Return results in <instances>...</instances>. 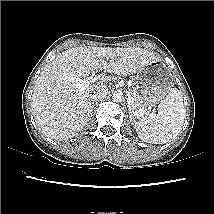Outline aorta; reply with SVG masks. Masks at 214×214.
<instances>
[{"mask_svg":"<svg viewBox=\"0 0 214 214\" xmlns=\"http://www.w3.org/2000/svg\"><path fill=\"white\" fill-rule=\"evenodd\" d=\"M112 99L114 102H121L123 99V94L121 91H115L112 95Z\"/></svg>","mask_w":214,"mask_h":214,"instance_id":"obj_1","label":"aorta"}]
</instances>
